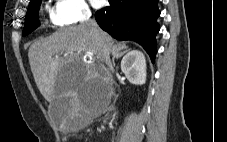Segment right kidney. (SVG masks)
I'll return each instance as SVG.
<instances>
[{
  "label": "right kidney",
  "mask_w": 227,
  "mask_h": 142,
  "mask_svg": "<svg viewBox=\"0 0 227 142\" xmlns=\"http://www.w3.org/2000/svg\"><path fill=\"white\" fill-rule=\"evenodd\" d=\"M121 70L134 85H143L146 82V60L138 50H132L123 57Z\"/></svg>",
  "instance_id": "obj_1"
}]
</instances>
